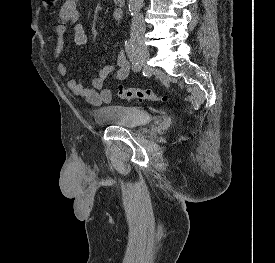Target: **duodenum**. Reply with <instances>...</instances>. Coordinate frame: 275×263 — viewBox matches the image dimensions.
<instances>
[{"label": "duodenum", "instance_id": "410a0bca", "mask_svg": "<svg viewBox=\"0 0 275 263\" xmlns=\"http://www.w3.org/2000/svg\"><path fill=\"white\" fill-rule=\"evenodd\" d=\"M117 6L123 7L126 4V0H114Z\"/></svg>", "mask_w": 275, "mask_h": 263}]
</instances>
